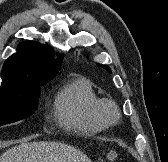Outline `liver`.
Wrapping results in <instances>:
<instances>
[{
    "mask_svg": "<svg viewBox=\"0 0 168 162\" xmlns=\"http://www.w3.org/2000/svg\"><path fill=\"white\" fill-rule=\"evenodd\" d=\"M0 162H92L80 150L60 142L22 143L0 155Z\"/></svg>",
    "mask_w": 168,
    "mask_h": 162,
    "instance_id": "liver-1",
    "label": "liver"
}]
</instances>
